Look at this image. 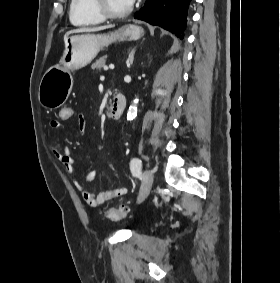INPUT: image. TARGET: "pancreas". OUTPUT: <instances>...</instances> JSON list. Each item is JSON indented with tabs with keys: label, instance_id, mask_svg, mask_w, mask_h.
<instances>
[{
	"label": "pancreas",
	"instance_id": "obj_1",
	"mask_svg": "<svg viewBox=\"0 0 280 283\" xmlns=\"http://www.w3.org/2000/svg\"><path fill=\"white\" fill-rule=\"evenodd\" d=\"M105 63H106V56L100 57L98 60H96L91 68L93 70H101V69H105Z\"/></svg>",
	"mask_w": 280,
	"mask_h": 283
}]
</instances>
